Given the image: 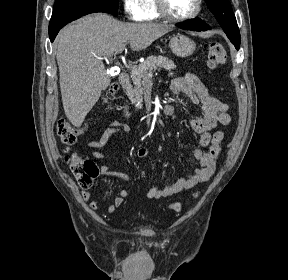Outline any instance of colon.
Returning a JSON list of instances; mask_svg holds the SVG:
<instances>
[{
    "label": "colon",
    "mask_w": 288,
    "mask_h": 280,
    "mask_svg": "<svg viewBox=\"0 0 288 280\" xmlns=\"http://www.w3.org/2000/svg\"><path fill=\"white\" fill-rule=\"evenodd\" d=\"M207 50V65L211 70H215L226 61V51L222 44L218 42H210L206 45ZM117 85L113 84L108 89L105 100H111L114 98L117 92ZM82 133V129L74 127L66 120H60L57 124V135L60 141L66 145L71 146L75 144L78 135ZM67 161L70 167V170L74 177L76 178L78 184L82 188H89L92 186L94 179L98 175V166L97 164L86 158H82L76 153H71L67 157ZM198 196V192L194 194V197ZM180 203H174L170 206L174 211L181 210Z\"/></svg>",
    "instance_id": "obj_1"
}]
</instances>
